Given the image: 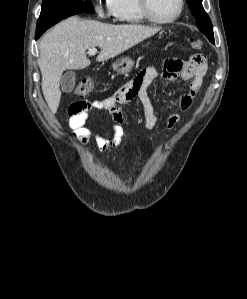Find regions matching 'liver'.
<instances>
[{
    "instance_id": "obj_1",
    "label": "liver",
    "mask_w": 247,
    "mask_h": 299,
    "mask_svg": "<svg viewBox=\"0 0 247 299\" xmlns=\"http://www.w3.org/2000/svg\"><path fill=\"white\" fill-rule=\"evenodd\" d=\"M160 29L135 24L112 25L77 17L58 23L41 39L38 59L42 92L52 114L57 112L61 99L59 85L63 71L82 70L91 64L86 50L99 47L101 51L96 61L104 62L155 35Z\"/></svg>"
}]
</instances>
